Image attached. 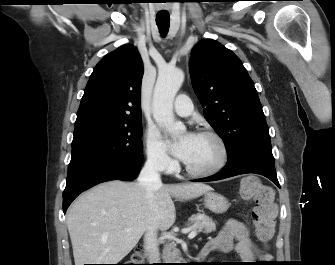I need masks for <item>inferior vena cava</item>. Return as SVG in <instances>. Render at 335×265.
Returning <instances> with one entry per match:
<instances>
[{
    "label": "inferior vena cava",
    "instance_id": "1",
    "mask_svg": "<svg viewBox=\"0 0 335 265\" xmlns=\"http://www.w3.org/2000/svg\"><path fill=\"white\" fill-rule=\"evenodd\" d=\"M159 169L160 166L157 159L148 158L138 177V183L145 188L150 199L154 196V189L162 185ZM156 230L155 226H149L144 236V247L150 261L158 260L159 257Z\"/></svg>",
    "mask_w": 335,
    "mask_h": 265
}]
</instances>
